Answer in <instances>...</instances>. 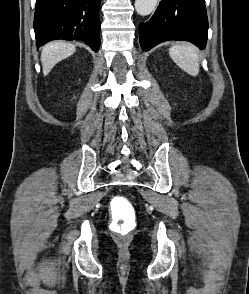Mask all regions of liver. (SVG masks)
<instances>
[{
	"label": "liver",
	"mask_w": 249,
	"mask_h": 294,
	"mask_svg": "<svg viewBox=\"0 0 249 294\" xmlns=\"http://www.w3.org/2000/svg\"><path fill=\"white\" fill-rule=\"evenodd\" d=\"M75 51L76 48L73 44L63 41H53L46 44L41 52L43 75L46 76L58 62L73 55Z\"/></svg>",
	"instance_id": "1"
}]
</instances>
